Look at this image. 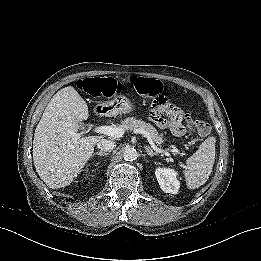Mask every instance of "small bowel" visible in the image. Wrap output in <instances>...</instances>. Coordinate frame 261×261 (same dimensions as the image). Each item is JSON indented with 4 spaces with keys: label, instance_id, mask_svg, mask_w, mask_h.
Wrapping results in <instances>:
<instances>
[{
    "label": "small bowel",
    "instance_id": "1",
    "mask_svg": "<svg viewBox=\"0 0 261 261\" xmlns=\"http://www.w3.org/2000/svg\"><path fill=\"white\" fill-rule=\"evenodd\" d=\"M151 117H152V119L158 124L159 127H161V128L169 127L168 123L165 122L164 120H160V121H159V118L156 117L153 112H151ZM188 126H190L189 123H188ZM169 128H170V127H169ZM173 133H174V132H173Z\"/></svg>",
    "mask_w": 261,
    "mask_h": 261
}]
</instances>
